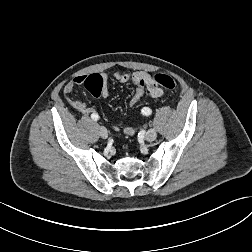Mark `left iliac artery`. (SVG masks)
Returning <instances> with one entry per match:
<instances>
[{
  "label": "left iliac artery",
  "instance_id": "obj_1",
  "mask_svg": "<svg viewBox=\"0 0 252 252\" xmlns=\"http://www.w3.org/2000/svg\"><path fill=\"white\" fill-rule=\"evenodd\" d=\"M150 113H151V110L147 106L142 107V109L140 110L141 116H147V115H150Z\"/></svg>",
  "mask_w": 252,
  "mask_h": 252
}]
</instances>
